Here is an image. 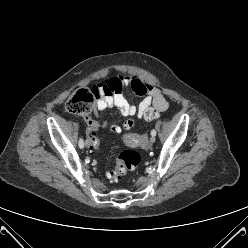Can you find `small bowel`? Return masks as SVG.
<instances>
[{
	"label": "small bowel",
	"instance_id": "obj_1",
	"mask_svg": "<svg viewBox=\"0 0 248 248\" xmlns=\"http://www.w3.org/2000/svg\"><path fill=\"white\" fill-rule=\"evenodd\" d=\"M101 92L96 101V110L103 111L110 107H116L123 116H134L143 118L144 114L151 107L158 112H163L168 108V102L161 91L152 84L138 77H111L105 84L97 85ZM130 88L135 94L144 96L138 106L133 105L124 96V89ZM89 129H97L106 124H100L98 121L85 117Z\"/></svg>",
	"mask_w": 248,
	"mask_h": 248
}]
</instances>
